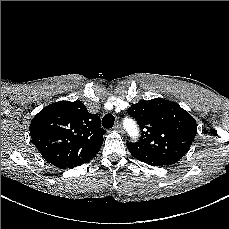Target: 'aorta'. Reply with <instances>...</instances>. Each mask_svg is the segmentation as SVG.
<instances>
[{"label":"aorta","instance_id":"1","mask_svg":"<svg viewBox=\"0 0 229 229\" xmlns=\"http://www.w3.org/2000/svg\"><path fill=\"white\" fill-rule=\"evenodd\" d=\"M131 135H132L134 138H136V136H137V129H136L135 127H133V128L131 129Z\"/></svg>","mask_w":229,"mask_h":229}]
</instances>
